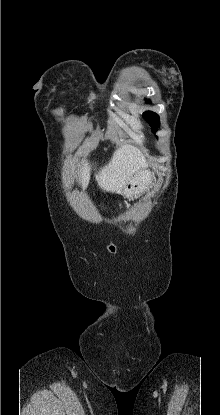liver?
<instances>
[{"mask_svg": "<svg viewBox=\"0 0 220 415\" xmlns=\"http://www.w3.org/2000/svg\"><path fill=\"white\" fill-rule=\"evenodd\" d=\"M144 166L142 153L132 145H123L113 153L109 163L95 173V180L103 191L122 194L131 177ZM90 170L89 163H84L79 177L83 189L89 184Z\"/></svg>", "mask_w": 220, "mask_h": 415, "instance_id": "1", "label": "liver"}]
</instances>
